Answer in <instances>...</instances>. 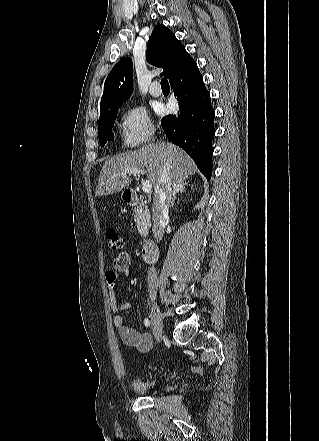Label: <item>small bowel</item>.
<instances>
[{
    "label": "small bowel",
    "instance_id": "obj_1",
    "mask_svg": "<svg viewBox=\"0 0 319 441\" xmlns=\"http://www.w3.org/2000/svg\"><path fill=\"white\" fill-rule=\"evenodd\" d=\"M131 266V258L126 253L119 254L113 261L114 270L105 273V281L109 296L110 309L114 314V325L117 328L122 342L134 347L140 353L148 352L153 346V338L149 333H140L134 328L124 324L123 318L118 314L127 311L131 304L117 297L118 273L128 274Z\"/></svg>",
    "mask_w": 319,
    "mask_h": 441
}]
</instances>
